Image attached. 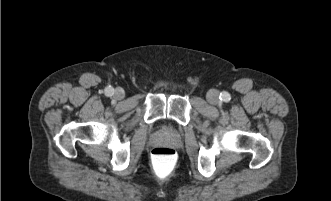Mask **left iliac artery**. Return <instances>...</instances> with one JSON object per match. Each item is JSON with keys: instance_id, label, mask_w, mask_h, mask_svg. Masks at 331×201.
Instances as JSON below:
<instances>
[{"instance_id": "44dca946", "label": "left iliac artery", "mask_w": 331, "mask_h": 201, "mask_svg": "<svg viewBox=\"0 0 331 201\" xmlns=\"http://www.w3.org/2000/svg\"><path fill=\"white\" fill-rule=\"evenodd\" d=\"M219 98L221 101L227 102L228 100H230V95L227 92H222L220 93Z\"/></svg>"}]
</instances>
